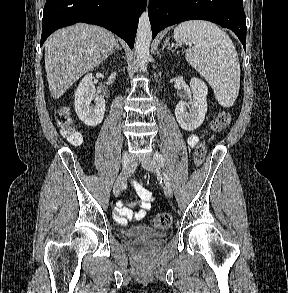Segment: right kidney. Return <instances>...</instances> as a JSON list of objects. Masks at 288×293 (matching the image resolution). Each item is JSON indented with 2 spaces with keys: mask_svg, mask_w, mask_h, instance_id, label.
<instances>
[{
  "mask_svg": "<svg viewBox=\"0 0 288 293\" xmlns=\"http://www.w3.org/2000/svg\"><path fill=\"white\" fill-rule=\"evenodd\" d=\"M92 74L89 73L79 83L75 92V111L81 121L88 126H97L103 120L105 100L96 93ZM94 100V105L91 103Z\"/></svg>",
  "mask_w": 288,
  "mask_h": 293,
  "instance_id": "right-kidney-1",
  "label": "right kidney"
}]
</instances>
